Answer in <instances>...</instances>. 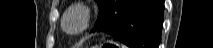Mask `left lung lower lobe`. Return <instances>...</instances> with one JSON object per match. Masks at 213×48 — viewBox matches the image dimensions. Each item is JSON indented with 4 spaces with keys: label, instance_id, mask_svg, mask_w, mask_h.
Listing matches in <instances>:
<instances>
[{
    "label": "left lung lower lobe",
    "instance_id": "0a47b994",
    "mask_svg": "<svg viewBox=\"0 0 213 48\" xmlns=\"http://www.w3.org/2000/svg\"><path fill=\"white\" fill-rule=\"evenodd\" d=\"M164 0H110L95 31H104L130 48H158Z\"/></svg>",
    "mask_w": 213,
    "mask_h": 48
}]
</instances>
